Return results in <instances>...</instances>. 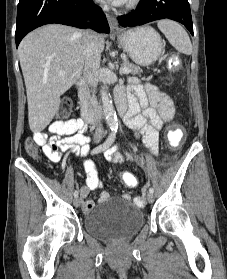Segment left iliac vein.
Masks as SVG:
<instances>
[{
	"mask_svg": "<svg viewBox=\"0 0 227 279\" xmlns=\"http://www.w3.org/2000/svg\"><path fill=\"white\" fill-rule=\"evenodd\" d=\"M147 201L149 203H152L154 201V195L150 192L147 194Z\"/></svg>",
	"mask_w": 227,
	"mask_h": 279,
	"instance_id": "1",
	"label": "left iliac vein"
}]
</instances>
